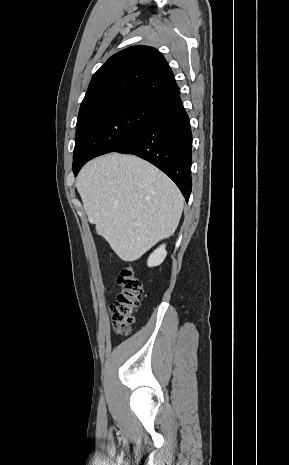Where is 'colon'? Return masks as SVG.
<instances>
[{
	"label": "colon",
	"instance_id": "obj_1",
	"mask_svg": "<svg viewBox=\"0 0 289 465\" xmlns=\"http://www.w3.org/2000/svg\"><path fill=\"white\" fill-rule=\"evenodd\" d=\"M117 283L120 291L110 310L115 332L119 335H126L130 331L142 298L143 286L131 266L124 267L120 271Z\"/></svg>",
	"mask_w": 289,
	"mask_h": 465
}]
</instances>
